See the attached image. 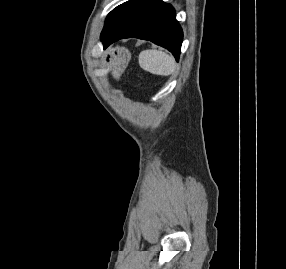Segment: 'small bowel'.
Masks as SVG:
<instances>
[{"mask_svg":"<svg viewBox=\"0 0 286 269\" xmlns=\"http://www.w3.org/2000/svg\"><path fill=\"white\" fill-rule=\"evenodd\" d=\"M114 74H115V75H118V74H119V71H118V70H116V71L114 72Z\"/></svg>","mask_w":286,"mask_h":269,"instance_id":"small-bowel-1","label":"small bowel"}]
</instances>
